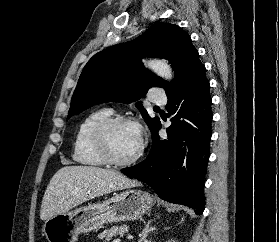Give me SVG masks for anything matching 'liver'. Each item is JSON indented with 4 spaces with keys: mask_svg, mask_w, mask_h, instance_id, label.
<instances>
[{
    "mask_svg": "<svg viewBox=\"0 0 279 242\" xmlns=\"http://www.w3.org/2000/svg\"><path fill=\"white\" fill-rule=\"evenodd\" d=\"M117 171L92 166H65L51 178L43 196L40 219L57 214L95 197L138 186Z\"/></svg>",
    "mask_w": 279,
    "mask_h": 242,
    "instance_id": "obj_1",
    "label": "liver"
}]
</instances>
